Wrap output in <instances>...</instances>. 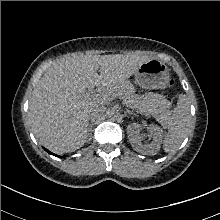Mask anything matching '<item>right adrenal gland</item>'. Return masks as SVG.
I'll list each match as a JSON object with an SVG mask.
<instances>
[{
	"instance_id": "2a0ac1e0",
	"label": "right adrenal gland",
	"mask_w": 220,
	"mask_h": 220,
	"mask_svg": "<svg viewBox=\"0 0 220 220\" xmlns=\"http://www.w3.org/2000/svg\"><path fill=\"white\" fill-rule=\"evenodd\" d=\"M95 123V120H92L91 123H89V126H88V135H91V132H92V127Z\"/></svg>"
}]
</instances>
